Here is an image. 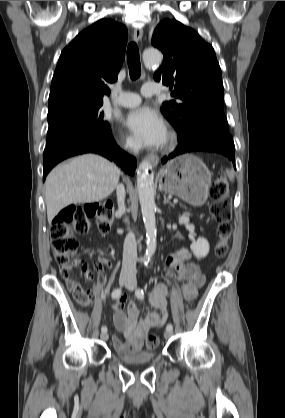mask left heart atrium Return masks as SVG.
I'll return each instance as SVG.
<instances>
[{"mask_svg": "<svg viewBox=\"0 0 285 418\" xmlns=\"http://www.w3.org/2000/svg\"><path fill=\"white\" fill-rule=\"evenodd\" d=\"M126 127L133 138L142 144H159L166 134V125L159 112L150 107L132 110L126 117Z\"/></svg>", "mask_w": 285, "mask_h": 418, "instance_id": "left-heart-atrium-1", "label": "left heart atrium"}]
</instances>
